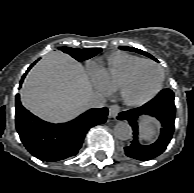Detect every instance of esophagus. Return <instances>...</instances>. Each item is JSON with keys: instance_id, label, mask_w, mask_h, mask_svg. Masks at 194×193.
Here are the masks:
<instances>
[{"instance_id": "1", "label": "esophagus", "mask_w": 194, "mask_h": 193, "mask_svg": "<svg viewBox=\"0 0 194 193\" xmlns=\"http://www.w3.org/2000/svg\"><path fill=\"white\" fill-rule=\"evenodd\" d=\"M120 112V107L118 105H111L109 107V117L115 118Z\"/></svg>"}]
</instances>
